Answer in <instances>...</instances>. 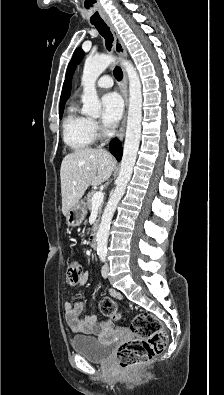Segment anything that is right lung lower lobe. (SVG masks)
<instances>
[{"mask_svg": "<svg viewBox=\"0 0 224 395\" xmlns=\"http://www.w3.org/2000/svg\"><path fill=\"white\" fill-rule=\"evenodd\" d=\"M110 152L116 157L118 161L121 160L122 157L121 143L117 139H114L110 143Z\"/></svg>", "mask_w": 224, "mask_h": 395, "instance_id": "right-lung-lower-lobe-1", "label": "right lung lower lobe"}]
</instances>
